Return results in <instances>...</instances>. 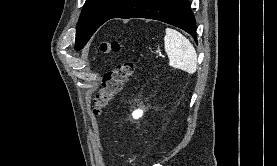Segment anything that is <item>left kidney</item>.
I'll return each instance as SVG.
<instances>
[{
    "label": "left kidney",
    "mask_w": 277,
    "mask_h": 166,
    "mask_svg": "<svg viewBox=\"0 0 277 166\" xmlns=\"http://www.w3.org/2000/svg\"><path fill=\"white\" fill-rule=\"evenodd\" d=\"M143 115V110L137 109L132 113L134 119H138Z\"/></svg>",
    "instance_id": "5707ae66"
}]
</instances>
